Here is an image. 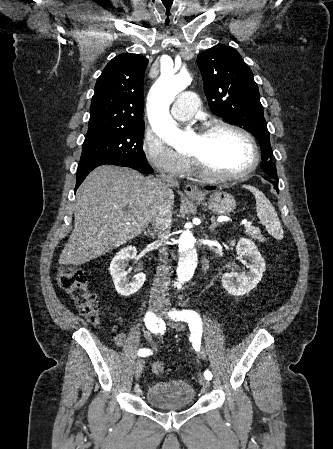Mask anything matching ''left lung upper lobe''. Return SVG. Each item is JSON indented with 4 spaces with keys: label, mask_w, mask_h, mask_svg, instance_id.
Listing matches in <instances>:
<instances>
[{
    "label": "left lung upper lobe",
    "mask_w": 333,
    "mask_h": 449,
    "mask_svg": "<svg viewBox=\"0 0 333 449\" xmlns=\"http://www.w3.org/2000/svg\"><path fill=\"white\" fill-rule=\"evenodd\" d=\"M197 64L211 111L242 125L256 137L261 148L262 170L273 179H278L276 167L271 161L273 153L264 109L251 69L234 48L225 45L200 53Z\"/></svg>",
    "instance_id": "left-lung-upper-lobe-1"
}]
</instances>
